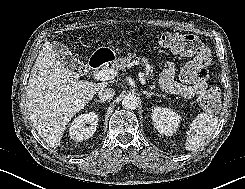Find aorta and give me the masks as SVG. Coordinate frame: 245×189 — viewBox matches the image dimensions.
I'll return each mask as SVG.
<instances>
[{"label": "aorta", "mask_w": 245, "mask_h": 189, "mask_svg": "<svg viewBox=\"0 0 245 189\" xmlns=\"http://www.w3.org/2000/svg\"><path fill=\"white\" fill-rule=\"evenodd\" d=\"M138 105V99L135 95L133 94H127L124 96L123 100H122V106L125 108V109H128V110H133L137 107Z\"/></svg>", "instance_id": "762f6f07"}]
</instances>
